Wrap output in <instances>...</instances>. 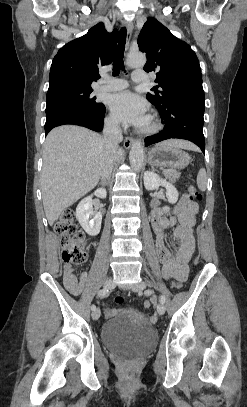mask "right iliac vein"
<instances>
[{
	"mask_svg": "<svg viewBox=\"0 0 247 407\" xmlns=\"http://www.w3.org/2000/svg\"><path fill=\"white\" fill-rule=\"evenodd\" d=\"M114 287H115V282H114L112 279H106V280L104 281V288H106V289H113ZM99 317H100V310H99V309H95V310L92 312V318H93L94 320H98Z\"/></svg>",
	"mask_w": 247,
	"mask_h": 407,
	"instance_id": "right-iliac-vein-1",
	"label": "right iliac vein"
}]
</instances>
